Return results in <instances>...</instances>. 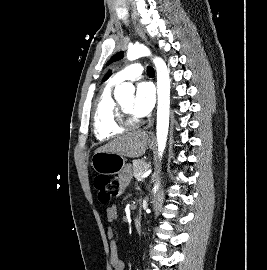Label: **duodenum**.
Instances as JSON below:
<instances>
[{"instance_id":"duodenum-1","label":"duodenum","mask_w":267,"mask_h":270,"mask_svg":"<svg viewBox=\"0 0 267 270\" xmlns=\"http://www.w3.org/2000/svg\"><path fill=\"white\" fill-rule=\"evenodd\" d=\"M133 223H134L135 229H136V230H140L141 227H142V219H141V216H140V215L137 216V217L134 219Z\"/></svg>"}]
</instances>
